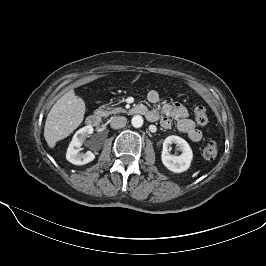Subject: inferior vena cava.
<instances>
[{
	"instance_id": "1",
	"label": "inferior vena cava",
	"mask_w": 266,
	"mask_h": 266,
	"mask_svg": "<svg viewBox=\"0 0 266 266\" xmlns=\"http://www.w3.org/2000/svg\"><path fill=\"white\" fill-rule=\"evenodd\" d=\"M127 123V119L124 116H116L111 120V127L113 129L123 128Z\"/></svg>"
}]
</instances>
